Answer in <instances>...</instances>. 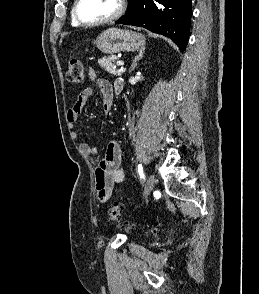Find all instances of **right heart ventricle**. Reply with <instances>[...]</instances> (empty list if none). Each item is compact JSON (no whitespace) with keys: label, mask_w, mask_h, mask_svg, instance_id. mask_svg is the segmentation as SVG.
I'll use <instances>...</instances> for the list:
<instances>
[{"label":"right heart ventricle","mask_w":259,"mask_h":294,"mask_svg":"<svg viewBox=\"0 0 259 294\" xmlns=\"http://www.w3.org/2000/svg\"><path fill=\"white\" fill-rule=\"evenodd\" d=\"M71 23H72V25L75 26V27L79 26V25L75 22V20L73 19V17L71 18Z\"/></svg>","instance_id":"e07e8e85"}]
</instances>
